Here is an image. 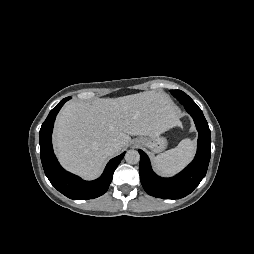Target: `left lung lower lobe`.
I'll list each match as a JSON object with an SVG mask.
<instances>
[{"label":"left lung lower lobe","instance_id":"obj_1","mask_svg":"<svg viewBox=\"0 0 254 254\" xmlns=\"http://www.w3.org/2000/svg\"><path fill=\"white\" fill-rule=\"evenodd\" d=\"M198 130V147L194 160L179 174L161 178L151 169L148 156L140 153L139 173L144 190L157 198L180 199L190 194L205 177L211 154V133L208 123L198 106H185Z\"/></svg>","mask_w":254,"mask_h":254}]
</instances>
